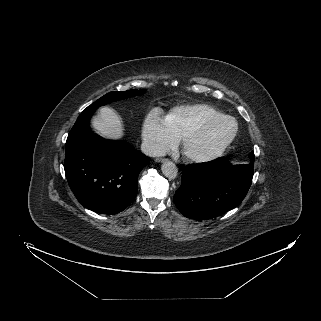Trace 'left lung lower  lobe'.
Wrapping results in <instances>:
<instances>
[{"mask_svg": "<svg viewBox=\"0 0 321 321\" xmlns=\"http://www.w3.org/2000/svg\"><path fill=\"white\" fill-rule=\"evenodd\" d=\"M245 165L229 164L226 157L186 165L174 195L179 211L190 219L208 220L237 207L246 196L254 173V155Z\"/></svg>", "mask_w": 321, "mask_h": 321, "instance_id": "0a47b994", "label": "left lung lower lobe"}]
</instances>
